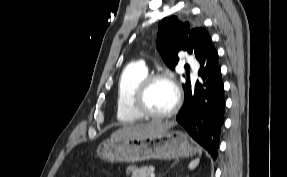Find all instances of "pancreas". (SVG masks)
<instances>
[{
  "mask_svg": "<svg viewBox=\"0 0 287 177\" xmlns=\"http://www.w3.org/2000/svg\"><path fill=\"white\" fill-rule=\"evenodd\" d=\"M153 172V166H143L142 168L128 167L126 169V174L131 175V177H149Z\"/></svg>",
  "mask_w": 287,
  "mask_h": 177,
  "instance_id": "pancreas-1",
  "label": "pancreas"
}]
</instances>
